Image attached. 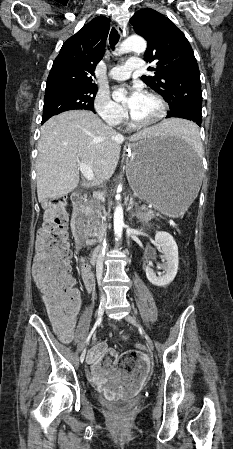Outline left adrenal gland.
Segmentation results:
<instances>
[{
  "label": "left adrenal gland",
  "mask_w": 233,
  "mask_h": 449,
  "mask_svg": "<svg viewBox=\"0 0 233 449\" xmlns=\"http://www.w3.org/2000/svg\"><path fill=\"white\" fill-rule=\"evenodd\" d=\"M133 204H134V201L131 199V201H130V206H129V209H130V210L133 208ZM138 212H140V211H138ZM138 212H137V213H138ZM137 213H136V214H137ZM132 214H133V212H132Z\"/></svg>",
  "instance_id": "1"
}]
</instances>
